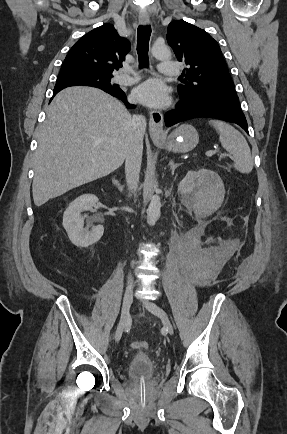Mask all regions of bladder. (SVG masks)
<instances>
[{
	"mask_svg": "<svg viewBox=\"0 0 287 434\" xmlns=\"http://www.w3.org/2000/svg\"><path fill=\"white\" fill-rule=\"evenodd\" d=\"M157 365L148 354L134 355L125 368L129 378L152 377L156 374Z\"/></svg>",
	"mask_w": 287,
	"mask_h": 434,
	"instance_id": "1",
	"label": "bladder"
}]
</instances>
